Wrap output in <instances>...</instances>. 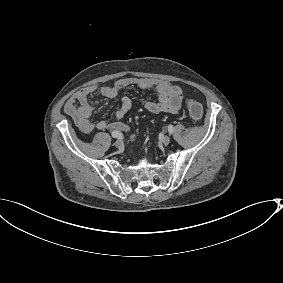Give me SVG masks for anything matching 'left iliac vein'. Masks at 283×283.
<instances>
[{
  "label": "left iliac vein",
  "instance_id": "obj_1",
  "mask_svg": "<svg viewBox=\"0 0 283 283\" xmlns=\"http://www.w3.org/2000/svg\"><path fill=\"white\" fill-rule=\"evenodd\" d=\"M161 143L164 145H168L170 143V138L168 136L162 137Z\"/></svg>",
  "mask_w": 283,
  "mask_h": 283
}]
</instances>
